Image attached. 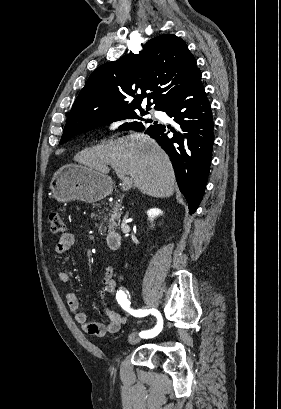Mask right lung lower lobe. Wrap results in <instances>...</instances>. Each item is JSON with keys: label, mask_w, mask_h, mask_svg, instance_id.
<instances>
[{"label": "right lung lower lobe", "mask_w": 281, "mask_h": 409, "mask_svg": "<svg viewBox=\"0 0 281 409\" xmlns=\"http://www.w3.org/2000/svg\"><path fill=\"white\" fill-rule=\"evenodd\" d=\"M160 111L166 112L178 126L155 123L145 133L156 139L170 156L180 191L192 214L204 194L214 142L212 111L200 70Z\"/></svg>", "instance_id": "obj_1"}]
</instances>
